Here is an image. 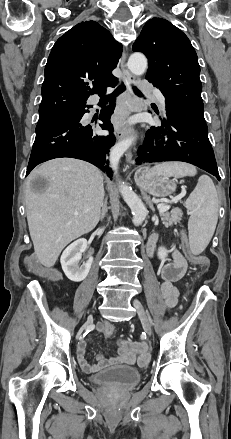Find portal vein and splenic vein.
<instances>
[{
	"instance_id": "18ae733b",
	"label": "portal vein and splenic vein",
	"mask_w": 231,
	"mask_h": 439,
	"mask_svg": "<svg viewBox=\"0 0 231 439\" xmlns=\"http://www.w3.org/2000/svg\"><path fill=\"white\" fill-rule=\"evenodd\" d=\"M185 194H186V192H182L177 197L178 198H182V197L185 196ZM157 208H158L159 213L161 214V213H164V212L168 211L170 209V206L169 205H165V204H159ZM75 214L77 215L78 213L76 212Z\"/></svg>"
}]
</instances>
